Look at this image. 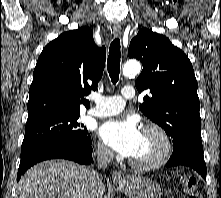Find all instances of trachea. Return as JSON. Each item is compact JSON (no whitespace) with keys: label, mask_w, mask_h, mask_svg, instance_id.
Segmentation results:
<instances>
[{"label":"trachea","mask_w":221,"mask_h":198,"mask_svg":"<svg viewBox=\"0 0 221 198\" xmlns=\"http://www.w3.org/2000/svg\"><path fill=\"white\" fill-rule=\"evenodd\" d=\"M120 58V40L117 38L114 39L110 45L107 60V69L113 84H116L119 80Z\"/></svg>","instance_id":"3493384b"}]
</instances>
